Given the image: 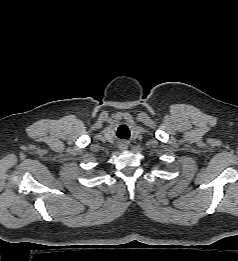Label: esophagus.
I'll list each match as a JSON object with an SVG mask.
<instances>
[{"label":"esophagus","instance_id":"esophagus-1","mask_svg":"<svg viewBox=\"0 0 238 261\" xmlns=\"http://www.w3.org/2000/svg\"><path fill=\"white\" fill-rule=\"evenodd\" d=\"M128 148V143L126 142H122L120 145H119V149L120 150H126Z\"/></svg>","mask_w":238,"mask_h":261}]
</instances>
